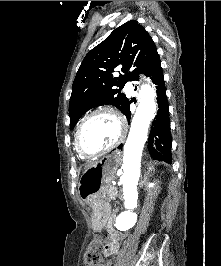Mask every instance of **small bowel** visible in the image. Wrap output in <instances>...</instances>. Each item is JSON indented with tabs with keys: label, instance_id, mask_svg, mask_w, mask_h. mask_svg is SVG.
<instances>
[{
	"label": "small bowel",
	"instance_id": "c3829d8e",
	"mask_svg": "<svg viewBox=\"0 0 221 266\" xmlns=\"http://www.w3.org/2000/svg\"><path fill=\"white\" fill-rule=\"evenodd\" d=\"M109 230L111 231L112 241L106 245L105 247V255L111 256L116 253L118 245L123 241L124 235L115 229L113 224H109ZM109 262L103 264L102 266H109Z\"/></svg>",
	"mask_w": 221,
	"mask_h": 266
}]
</instances>
